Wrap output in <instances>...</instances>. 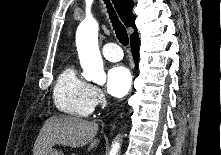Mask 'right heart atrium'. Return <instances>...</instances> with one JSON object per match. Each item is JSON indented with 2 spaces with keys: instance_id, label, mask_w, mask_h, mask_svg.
I'll list each match as a JSON object with an SVG mask.
<instances>
[{
  "instance_id": "1",
  "label": "right heart atrium",
  "mask_w": 221,
  "mask_h": 155,
  "mask_svg": "<svg viewBox=\"0 0 221 155\" xmlns=\"http://www.w3.org/2000/svg\"><path fill=\"white\" fill-rule=\"evenodd\" d=\"M90 96L94 106L101 105L104 102L103 92L95 85L90 87Z\"/></svg>"
}]
</instances>
